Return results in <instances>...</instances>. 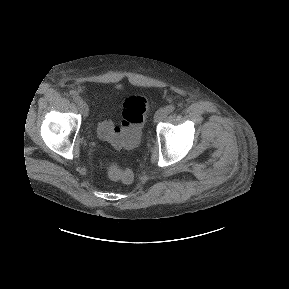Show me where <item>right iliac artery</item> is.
Listing matches in <instances>:
<instances>
[{"label": "right iliac artery", "instance_id": "82829eb1", "mask_svg": "<svg viewBox=\"0 0 289 289\" xmlns=\"http://www.w3.org/2000/svg\"><path fill=\"white\" fill-rule=\"evenodd\" d=\"M72 95H73V100L76 103H79L81 101V98L78 95H76L74 92H72Z\"/></svg>", "mask_w": 289, "mask_h": 289}]
</instances>
